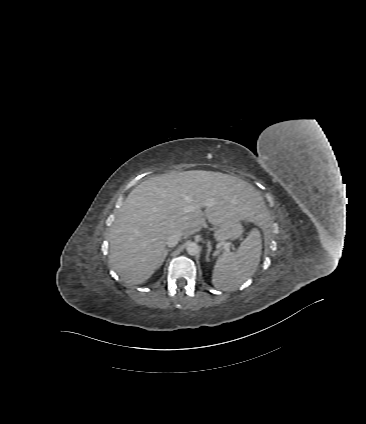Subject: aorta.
Here are the masks:
<instances>
[{"label":"aorta","mask_w":366,"mask_h":424,"mask_svg":"<svg viewBox=\"0 0 366 424\" xmlns=\"http://www.w3.org/2000/svg\"><path fill=\"white\" fill-rule=\"evenodd\" d=\"M186 251L189 255L196 256L200 253V247L195 242H190L186 246Z\"/></svg>","instance_id":"1"}]
</instances>
